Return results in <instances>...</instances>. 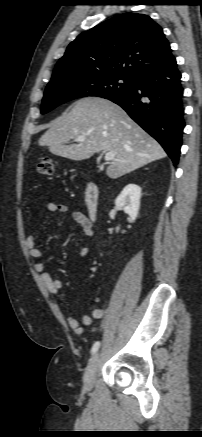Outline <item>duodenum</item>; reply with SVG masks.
Wrapping results in <instances>:
<instances>
[{
    "label": "duodenum",
    "mask_w": 202,
    "mask_h": 437,
    "mask_svg": "<svg viewBox=\"0 0 202 437\" xmlns=\"http://www.w3.org/2000/svg\"><path fill=\"white\" fill-rule=\"evenodd\" d=\"M84 204L88 212V218L94 222L97 218L99 204V190L94 182H88L84 189Z\"/></svg>",
    "instance_id": "duodenum-1"
}]
</instances>
